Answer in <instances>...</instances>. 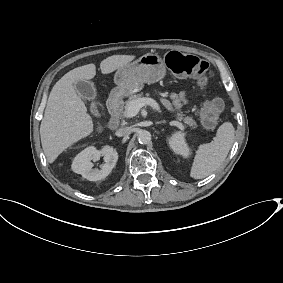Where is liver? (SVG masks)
<instances>
[{
	"instance_id": "obj_1",
	"label": "liver",
	"mask_w": 283,
	"mask_h": 283,
	"mask_svg": "<svg viewBox=\"0 0 283 283\" xmlns=\"http://www.w3.org/2000/svg\"><path fill=\"white\" fill-rule=\"evenodd\" d=\"M136 55H112L100 63L101 73L110 74L131 63ZM96 75V65L90 63L67 72L53 86L40 126L41 145L49 164L81 139L94 132V122L77 94L76 85Z\"/></svg>"
}]
</instances>
